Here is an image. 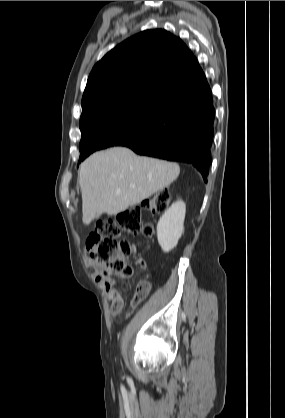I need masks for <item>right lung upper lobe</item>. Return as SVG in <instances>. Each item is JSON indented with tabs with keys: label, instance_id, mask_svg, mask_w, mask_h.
Segmentation results:
<instances>
[{
	"label": "right lung upper lobe",
	"instance_id": "obj_1",
	"mask_svg": "<svg viewBox=\"0 0 285 418\" xmlns=\"http://www.w3.org/2000/svg\"><path fill=\"white\" fill-rule=\"evenodd\" d=\"M196 57L179 38L146 30L108 52L92 69L81 118L105 106L146 100L165 106L206 83Z\"/></svg>",
	"mask_w": 285,
	"mask_h": 418
}]
</instances>
